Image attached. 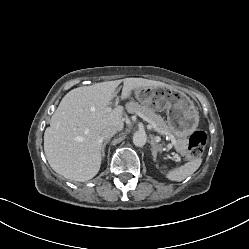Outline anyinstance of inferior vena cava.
<instances>
[{"instance_id":"602c4592","label":"inferior vena cava","mask_w":249,"mask_h":249,"mask_svg":"<svg viewBox=\"0 0 249 249\" xmlns=\"http://www.w3.org/2000/svg\"><path fill=\"white\" fill-rule=\"evenodd\" d=\"M117 128L111 125L105 126L100 133L102 140H109L112 136L117 133Z\"/></svg>"}]
</instances>
